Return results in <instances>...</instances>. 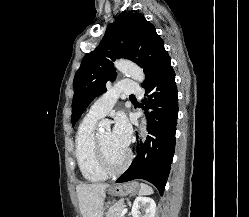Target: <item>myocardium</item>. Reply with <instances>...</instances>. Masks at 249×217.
I'll return each mask as SVG.
<instances>
[{
    "mask_svg": "<svg viewBox=\"0 0 249 217\" xmlns=\"http://www.w3.org/2000/svg\"><path fill=\"white\" fill-rule=\"evenodd\" d=\"M95 146H96L100 165L107 174H110V175L120 174L128 167V165L130 164L132 160V153L130 150L127 149L125 151V157L123 161L119 165L112 164L106 154V151L100 140L99 135H96Z\"/></svg>",
    "mask_w": 249,
    "mask_h": 217,
    "instance_id": "1",
    "label": "myocardium"
}]
</instances>
